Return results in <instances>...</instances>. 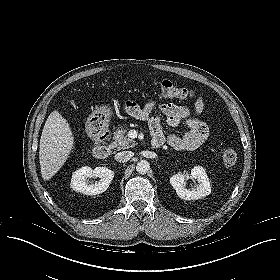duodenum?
<instances>
[{
	"instance_id": "1",
	"label": "duodenum",
	"mask_w": 280,
	"mask_h": 280,
	"mask_svg": "<svg viewBox=\"0 0 280 280\" xmlns=\"http://www.w3.org/2000/svg\"><path fill=\"white\" fill-rule=\"evenodd\" d=\"M111 137L109 130H103L95 135L96 145L94 148V157L99 160L108 158L112 153V148L107 144V141ZM153 148L158 149L164 145V141L161 138L154 137L151 141Z\"/></svg>"
}]
</instances>
